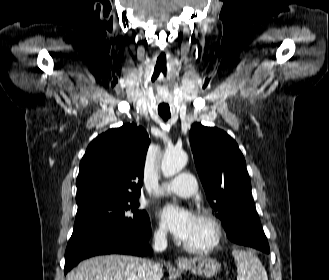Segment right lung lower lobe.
<instances>
[{
	"mask_svg": "<svg viewBox=\"0 0 329 280\" xmlns=\"http://www.w3.org/2000/svg\"><path fill=\"white\" fill-rule=\"evenodd\" d=\"M151 227L138 235H128L110 228H92L72 237L65 252L64 273L67 274L80 261L103 254H129L144 256L151 254L147 245Z\"/></svg>",
	"mask_w": 329,
	"mask_h": 280,
	"instance_id": "obj_1",
	"label": "right lung lower lobe"
}]
</instances>
